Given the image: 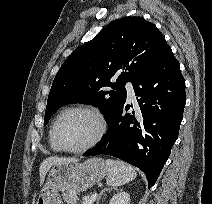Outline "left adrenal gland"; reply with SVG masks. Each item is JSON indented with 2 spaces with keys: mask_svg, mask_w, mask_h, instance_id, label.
Instances as JSON below:
<instances>
[{
  "mask_svg": "<svg viewBox=\"0 0 212 204\" xmlns=\"http://www.w3.org/2000/svg\"><path fill=\"white\" fill-rule=\"evenodd\" d=\"M108 190H110V188H105V189H103V190L99 193V196H98V198H97L96 204H99V201H100V199H101L103 193H104L105 191H108Z\"/></svg>",
  "mask_w": 212,
  "mask_h": 204,
  "instance_id": "left-adrenal-gland-1",
  "label": "left adrenal gland"
}]
</instances>
